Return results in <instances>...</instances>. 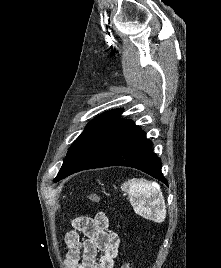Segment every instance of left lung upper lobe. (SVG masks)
<instances>
[{"instance_id":"left-lung-upper-lobe-1","label":"left lung upper lobe","mask_w":221,"mask_h":268,"mask_svg":"<svg viewBox=\"0 0 221 268\" xmlns=\"http://www.w3.org/2000/svg\"><path fill=\"white\" fill-rule=\"evenodd\" d=\"M122 109H115L103 113L93 119L87 126L81 135L74 141L67 152L66 159L54 179L56 182L59 176L67 170V168L77 159L82 151L111 123L118 120L121 117Z\"/></svg>"}]
</instances>
